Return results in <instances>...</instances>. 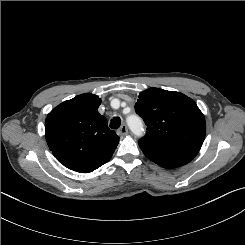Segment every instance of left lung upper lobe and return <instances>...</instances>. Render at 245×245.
<instances>
[{
    "label": "left lung upper lobe",
    "mask_w": 245,
    "mask_h": 245,
    "mask_svg": "<svg viewBox=\"0 0 245 245\" xmlns=\"http://www.w3.org/2000/svg\"><path fill=\"white\" fill-rule=\"evenodd\" d=\"M136 113L147 125L145 137L163 149L195 157L205 139V118L186 95L158 88L140 93Z\"/></svg>",
    "instance_id": "5c2ea615"
}]
</instances>
